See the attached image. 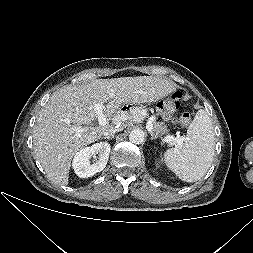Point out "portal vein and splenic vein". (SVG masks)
I'll use <instances>...</instances> for the list:
<instances>
[{
    "instance_id": "1",
    "label": "portal vein and splenic vein",
    "mask_w": 253,
    "mask_h": 253,
    "mask_svg": "<svg viewBox=\"0 0 253 253\" xmlns=\"http://www.w3.org/2000/svg\"><path fill=\"white\" fill-rule=\"evenodd\" d=\"M93 111L95 112L96 117L98 118V123H99V125H101V126L106 125L107 122H108V119H107V117H106L105 114H104V111H103V104H102V103H97V104H95V105L93 106ZM119 119H123L122 116L119 115V116H116V117H115V120H119ZM146 127H147V130H148V131H152V130H153V123H152V121H148ZM77 131L80 132L81 129H78ZM173 139H174L173 136L168 135V136L165 137L164 140H165V142H172ZM177 139H178L179 141H181L179 135L177 136Z\"/></svg>"
}]
</instances>
